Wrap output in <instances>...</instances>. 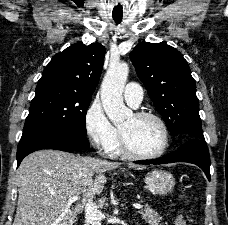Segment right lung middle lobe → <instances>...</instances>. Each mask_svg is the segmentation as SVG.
Instances as JSON below:
<instances>
[{"label":"right lung middle lobe","mask_w":228,"mask_h":225,"mask_svg":"<svg viewBox=\"0 0 228 225\" xmlns=\"http://www.w3.org/2000/svg\"><path fill=\"white\" fill-rule=\"evenodd\" d=\"M91 95L59 85L36 87L25 125L58 124L86 134L85 116Z\"/></svg>","instance_id":"right-lung-middle-lobe-1"}]
</instances>
